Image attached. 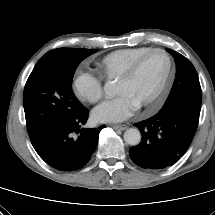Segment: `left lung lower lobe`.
Wrapping results in <instances>:
<instances>
[{
  "label": "left lung lower lobe",
  "instance_id": "left-lung-lower-lobe-1",
  "mask_svg": "<svg viewBox=\"0 0 215 215\" xmlns=\"http://www.w3.org/2000/svg\"><path fill=\"white\" fill-rule=\"evenodd\" d=\"M199 115L174 105L134 124L142 140L129 150L132 161L145 169H163L176 163L192 142Z\"/></svg>",
  "mask_w": 215,
  "mask_h": 215
}]
</instances>
